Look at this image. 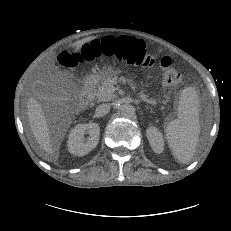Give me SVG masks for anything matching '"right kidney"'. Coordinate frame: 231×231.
Segmentation results:
<instances>
[{
  "mask_svg": "<svg viewBox=\"0 0 231 231\" xmlns=\"http://www.w3.org/2000/svg\"><path fill=\"white\" fill-rule=\"evenodd\" d=\"M88 134L87 139L84 135ZM100 127L97 123L76 125L68 137V150L71 154L84 156L93 150L99 141Z\"/></svg>",
  "mask_w": 231,
  "mask_h": 231,
  "instance_id": "right-kidney-1",
  "label": "right kidney"
}]
</instances>
